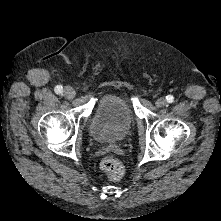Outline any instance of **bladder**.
<instances>
[{
  "mask_svg": "<svg viewBox=\"0 0 221 221\" xmlns=\"http://www.w3.org/2000/svg\"><path fill=\"white\" fill-rule=\"evenodd\" d=\"M133 122L128 103L120 96H108L98 104L91 116L89 133L97 142L116 143L128 136Z\"/></svg>",
  "mask_w": 221,
  "mask_h": 221,
  "instance_id": "obj_1",
  "label": "bladder"
}]
</instances>
